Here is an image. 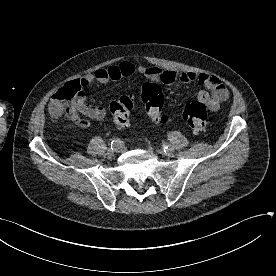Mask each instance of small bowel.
Segmentation results:
<instances>
[{
	"label": "small bowel",
	"mask_w": 276,
	"mask_h": 276,
	"mask_svg": "<svg viewBox=\"0 0 276 276\" xmlns=\"http://www.w3.org/2000/svg\"><path fill=\"white\" fill-rule=\"evenodd\" d=\"M135 73L165 85L192 82L203 84L208 91L201 90L197 95V99L204 103L210 112H217L220 109L221 104L229 96L226 86L214 75L196 72L181 73L157 66H136L130 61H122L116 65L98 68L93 73L87 74L78 80L82 87V95L75 103L74 112L71 115H68L69 120L79 127L88 128L90 122L82 116L94 120L104 119L106 116L105 108L100 105L87 103L83 89L94 82L106 84L110 81H118L122 78L130 77Z\"/></svg>",
	"instance_id": "small-bowel-1"
}]
</instances>
